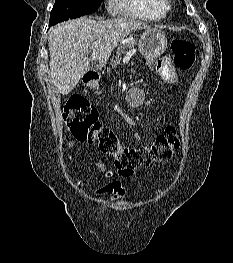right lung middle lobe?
Instances as JSON below:
<instances>
[{"instance_id":"obj_1","label":"right lung middle lobe","mask_w":233,"mask_h":263,"mask_svg":"<svg viewBox=\"0 0 233 263\" xmlns=\"http://www.w3.org/2000/svg\"><path fill=\"white\" fill-rule=\"evenodd\" d=\"M103 0H55L49 23L74 19L96 11Z\"/></svg>"}]
</instances>
